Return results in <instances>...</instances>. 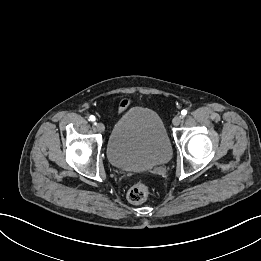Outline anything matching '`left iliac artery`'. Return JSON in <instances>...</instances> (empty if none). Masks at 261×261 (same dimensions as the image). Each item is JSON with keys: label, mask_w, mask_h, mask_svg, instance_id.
Wrapping results in <instances>:
<instances>
[{"label": "left iliac artery", "mask_w": 261, "mask_h": 261, "mask_svg": "<svg viewBox=\"0 0 261 261\" xmlns=\"http://www.w3.org/2000/svg\"><path fill=\"white\" fill-rule=\"evenodd\" d=\"M186 114H187V110L183 109V110L181 111V115L185 116Z\"/></svg>", "instance_id": "left-iliac-artery-1"}]
</instances>
